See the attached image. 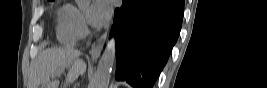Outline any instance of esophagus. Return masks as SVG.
<instances>
[{
	"instance_id": "34e87169",
	"label": "esophagus",
	"mask_w": 267,
	"mask_h": 88,
	"mask_svg": "<svg viewBox=\"0 0 267 88\" xmlns=\"http://www.w3.org/2000/svg\"><path fill=\"white\" fill-rule=\"evenodd\" d=\"M106 38H107V31L97 41L93 43L91 47V51H90L92 62L98 60L101 54V51L103 49Z\"/></svg>"
}]
</instances>
